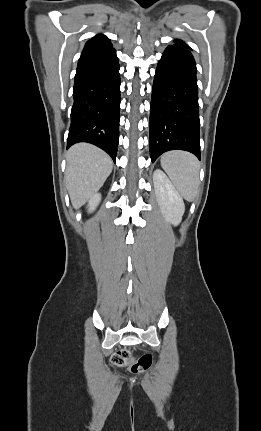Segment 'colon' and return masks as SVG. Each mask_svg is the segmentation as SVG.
Masks as SVG:
<instances>
[{"mask_svg": "<svg viewBox=\"0 0 261 431\" xmlns=\"http://www.w3.org/2000/svg\"><path fill=\"white\" fill-rule=\"evenodd\" d=\"M111 362L117 367L129 365L132 372L140 373L151 366L152 356L150 354H144L138 359L132 360L130 352L126 349H122L112 355Z\"/></svg>", "mask_w": 261, "mask_h": 431, "instance_id": "5ec220e1", "label": "colon"}]
</instances>
